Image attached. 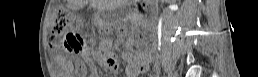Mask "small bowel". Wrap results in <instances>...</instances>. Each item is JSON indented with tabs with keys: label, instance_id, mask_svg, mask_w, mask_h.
Returning a JSON list of instances; mask_svg holds the SVG:
<instances>
[{
	"label": "small bowel",
	"instance_id": "obj_1",
	"mask_svg": "<svg viewBox=\"0 0 258 77\" xmlns=\"http://www.w3.org/2000/svg\"><path fill=\"white\" fill-rule=\"evenodd\" d=\"M103 57V62L105 66L112 70L117 71L119 69V62L117 57L112 52H106L100 54ZM154 59V54L152 52H147L136 56L132 53L124 54V61L126 62V70L131 75H138L141 72L148 70L149 64ZM64 65H67V62L64 60ZM66 69V68H65ZM67 71L64 70V73Z\"/></svg>",
	"mask_w": 258,
	"mask_h": 77
}]
</instances>
